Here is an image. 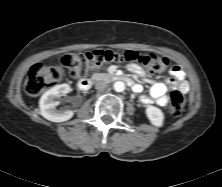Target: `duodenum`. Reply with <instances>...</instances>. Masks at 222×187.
<instances>
[{
	"instance_id": "duodenum-1",
	"label": "duodenum",
	"mask_w": 222,
	"mask_h": 187,
	"mask_svg": "<svg viewBox=\"0 0 222 187\" xmlns=\"http://www.w3.org/2000/svg\"><path fill=\"white\" fill-rule=\"evenodd\" d=\"M101 79H110V80H114V81H123L126 83H131L132 82V78L128 75L125 74H121V73H109L106 76H102V75H96L94 77V80H101ZM92 85V80L90 79H85V80H81L78 84V87L80 90L82 91H86L88 90Z\"/></svg>"
}]
</instances>
